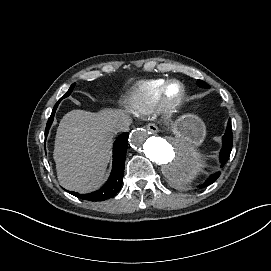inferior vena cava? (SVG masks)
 Returning <instances> with one entry per match:
<instances>
[{
	"mask_svg": "<svg viewBox=\"0 0 271 271\" xmlns=\"http://www.w3.org/2000/svg\"><path fill=\"white\" fill-rule=\"evenodd\" d=\"M130 123H131L130 119L123 120V121L119 122L116 125V131L117 132H128L129 131V125H130Z\"/></svg>",
	"mask_w": 271,
	"mask_h": 271,
	"instance_id": "602c4592",
	"label": "inferior vena cava"
}]
</instances>
